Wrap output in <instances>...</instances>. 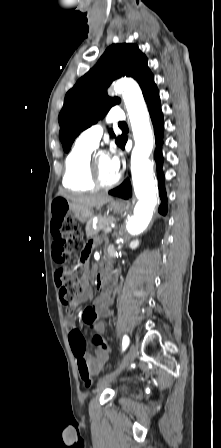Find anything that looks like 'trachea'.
I'll use <instances>...</instances> for the list:
<instances>
[{"label": "trachea", "instance_id": "3493384b", "mask_svg": "<svg viewBox=\"0 0 221 448\" xmlns=\"http://www.w3.org/2000/svg\"><path fill=\"white\" fill-rule=\"evenodd\" d=\"M118 125H119L120 127L127 126V124H126L125 122L119 123Z\"/></svg>", "mask_w": 221, "mask_h": 448}]
</instances>
